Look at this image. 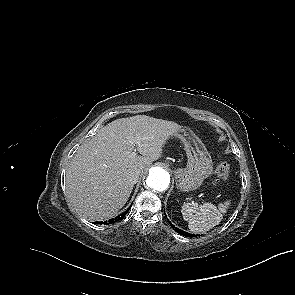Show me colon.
Wrapping results in <instances>:
<instances>
[{"label":"colon","mask_w":295,"mask_h":295,"mask_svg":"<svg viewBox=\"0 0 295 295\" xmlns=\"http://www.w3.org/2000/svg\"><path fill=\"white\" fill-rule=\"evenodd\" d=\"M229 165L226 162H221L215 172L214 184L224 181L229 175Z\"/></svg>","instance_id":"obj_1"}]
</instances>
